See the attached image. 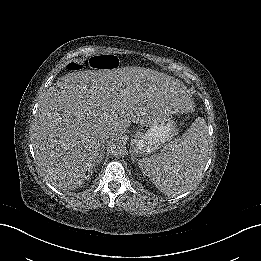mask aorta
I'll list each match as a JSON object with an SVG mask.
<instances>
[{
  "mask_svg": "<svg viewBox=\"0 0 261 261\" xmlns=\"http://www.w3.org/2000/svg\"><path fill=\"white\" fill-rule=\"evenodd\" d=\"M124 145L122 144V140L119 141V143L116 145L114 153L116 155L121 154V151L123 152Z\"/></svg>",
  "mask_w": 261,
  "mask_h": 261,
  "instance_id": "762f6f07",
  "label": "aorta"
}]
</instances>
